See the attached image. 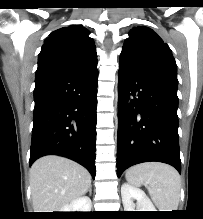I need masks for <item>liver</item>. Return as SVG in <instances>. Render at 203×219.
Masks as SVG:
<instances>
[{"instance_id": "obj_1", "label": "liver", "mask_w": 203, "mask_h": 219, "mask_svg": "<svg viewBox=\"0 0 203 219\" xmlns=\"http://www.w3.org/2000/svg\"><path fill=\"white\" fill-rule=\"evenodd\" d=\"M90 185L91 175L80 164L55 155L41 157L30 169L34 212H60Z\"/></svg>"}]
</instances>
